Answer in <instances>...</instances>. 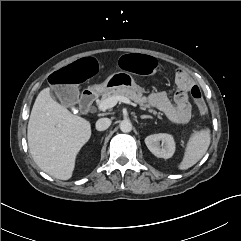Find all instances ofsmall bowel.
<instances>
[{"mask_svg": "<svg viewBox=\"0 0 241 241\" xmlns=\"http://www.w3.org/2000/svg\"><path fill=\"white\" fill-rule=\"evenodd\" d=\"M176 84L177 90L173 98H170L166 92L159 91L149 94L145 102L150 107L163 112L173 122L185 124L191 118L189 93L192 95V90L198 88V86L185 70H178L176 72Z\"/></svg>", "mask_w": 241, "mask_h": 241, "instance_id": "small-bowel-1", "label": "small bowel"}]
</instances>
